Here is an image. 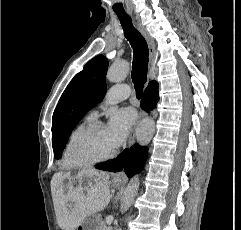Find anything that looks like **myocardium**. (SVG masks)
Segmentation results:
<instances>
[{"mask_svg":"<svg viewBox=\"0 0 241 230\" xmlns=\"http://www.w3.org/2000/svg\"><path fill=\"white\" fill-rule=\"evenodd\" d=\"M102 126H104V124L101 121H91L75 137L71 148V154L73 160L79 166H90L102 163L116 156L117 151L115 149L112 152L100 157H89L84 154V147L89 137Z\"/></svg>","mask_w":241,"mask_h":230,"instance_id":"myocardium-1","label":"myocardium"}]
</instances>
